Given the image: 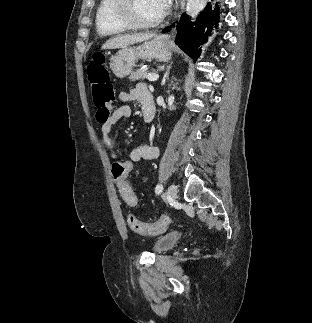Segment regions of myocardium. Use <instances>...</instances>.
Wrapping results in <instances>:
<instances>
[{
	"instance_id": "myocardium-1",
	"label": "myocardium",
	"mask_w": 312,
	"mask_h": 323,
	"mask_svg": "<svg viewBox=\"0 0 312 323\" xmlns=\"http://www.w3.org/2000/svg\"><path fill=\"white\" fill-rule=\"evenodd\" d=\"M114 6L115 8L111 10L112 15L117 17L121 25H129L130 31H144L145 27L161 23L160 18H149V20L138 18L137 14H133V10H130L132 8L130 0H115ZM164 8L169 11L171 5L166 3Z\"/></svg>"
}]
</instances>
